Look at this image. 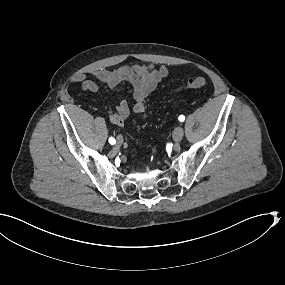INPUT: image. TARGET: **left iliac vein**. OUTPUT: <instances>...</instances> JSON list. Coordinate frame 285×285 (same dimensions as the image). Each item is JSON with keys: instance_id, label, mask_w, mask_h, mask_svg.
<instances>
[{"instance_id": "1", "label": "left iliac vein", "mask_w": 285, "mask_h": 285, "mask_svg": "<svg viewBox=\"0 0 285 285\" xmlns=\"http://www.w3.org/2000/svg\"><path fill=\"white\" fill-rule=\"evenodd\" d=\"M184 136V130L182 127L178 126L173 131V139L175 142H179Z\"/></svg>"}]
</instances>
